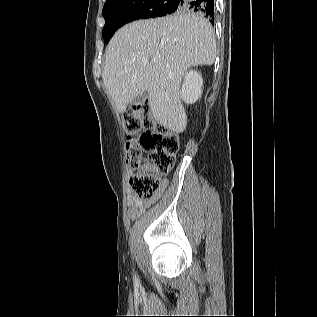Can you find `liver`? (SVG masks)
I'll use <instances>...</instances> for the list:
<instances>
[{"label":"liver","mask_w":317,"mask_h":317,"mask_svg":"<svg viewBox=\"0 0 317 317\" xmlns=\"http://www.w3.org/2000/svg\"><path fill=\"white\" fill-rule=\"evenodd\" d=\"M216 54L213 29L203 15L139 20L120 28L110 40L102 79L118 112L146 92L154 119L181 133L187 126L182 77L190 67L212 65Z\"/></svg>","instance_id":"obj_1"}]
</instances>
